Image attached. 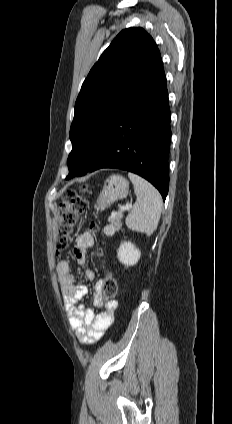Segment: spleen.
<instances>
[{"label": "spleen", "mask_w": 232, "mask_h": 424, "mask_svg": "<svg viewBox=\"0 0 232 424\" xmlns=\"http://www.w3.org/2000/svg\"><path fill=\"white\" fill-rule=\"evenodd\" d=\"M128 176L134 185L137 202L126 217V226L150 236L156 230L161 216V195L153 185L139 175L128 173Z\"/></svg>", "instance_id": "1"}]
</instances>
